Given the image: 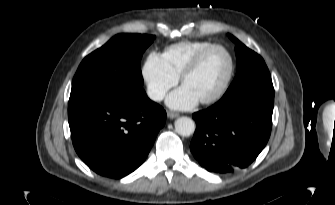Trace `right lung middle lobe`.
I'll return each mask as SVG.
<instances>
[{
  "label": "right lung middle lobe",
  "instance_id": "1",
  "mask_svg": "<svg viewBox=\"0 0 335 205\" xmlns=\"http://www.w3.org/2000/svg\"><path fill=\"white\" fill-rule=\"evenodd\" d=\"M155 36L118 34L86 56L73 78L70 100L88 95H130L143 91L140 60Z\"/></svg>",
  "mask_w": 335,
  "mask_h": 205
}]
</instances>
